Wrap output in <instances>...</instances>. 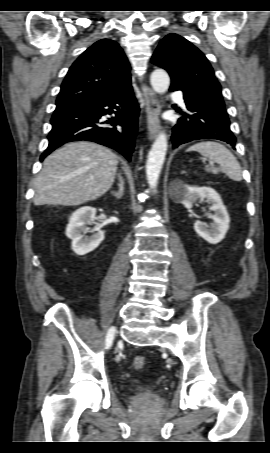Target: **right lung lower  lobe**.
<instances>
[{
	"label": "right lung lower lobe",
	"instance_id": "98d812e1",
	"mask_svg": "<svg viewBox=\"0 0 270 453\" xmlns=\"http://www.w3.org/2000/svg\"><path fill=\"white\" fill-rule=\"evenodd\" d=\"M138 112L131 83L99 99L59 104L51 119L48 148L40 160L64 143L79 140L113 148L130 160ZM105 115L112 117L102 121L101 117ZM116 126H121L122 130Z\"/></svg>",
	"mask_w": 270,
	"mask_h": 453
}]
</instances>
